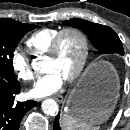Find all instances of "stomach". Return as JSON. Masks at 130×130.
Masks as SVG:
<instances>
[{
  "label": "stomach",
  "instance_id": "1",
  "mask_svg": "<svg viewBox=\"0 0 130 130\" xmlns=\"http://www.w3.org/2000/svg\"><path fill=\"white\" fill-rule=\"evenodd\" d=\"M89 75L99 76L100 82L85 95L82 91V83ZM119 91V77L115 68L107 62H101L87 72L70 92L65 101V114L89 125L101 124L114 111L119 98Z\"/></svg>",
  "mask_w": 130,
  "mask_h": 130
}]
</instances>
